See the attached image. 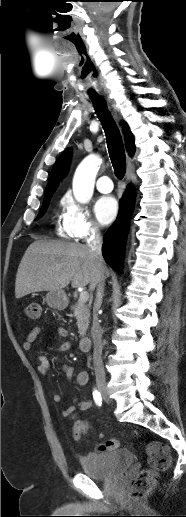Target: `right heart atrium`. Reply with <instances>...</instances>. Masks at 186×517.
I'll return each instance as SVG.
<instances>
[{
  "mask_svg": "<svg viewBox=\"0 0 186 517\" xmlns=\"http://www.w3.org/2000/svg\"><path fill=\"white\" fill-rule=\"evenodd\" d=\"M60 204L62 226L71 237L79 241H88L100 234V227L88 209L75 201L71 195H65Z\"/></svg>",
  "mask_w": 186,
  "mask_h": 517,
  "instance_id": "obj_1",
  "label": "right heart atrium"
}]
</instances>
